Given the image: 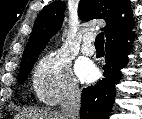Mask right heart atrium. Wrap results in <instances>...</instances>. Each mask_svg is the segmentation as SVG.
I'll list each match as a JSON object with an SVG mask.
<instances>
[{"label":"right heart atrium","instance_id":"1","mask_svg":"<svg viewBox=\"0 0 142 119\" xmlns=\"http://www.w3.org/2000/svg\"><path fill=\"white\" fill-rule=\"evenodd\" d=\"M36 97L47 105L75 100L80 95L77 81L65 56L54 50L44 54L32 73Z\"/></svg>","mask_w":142,"mask_h":119}]
</instances>
